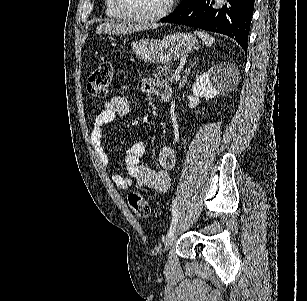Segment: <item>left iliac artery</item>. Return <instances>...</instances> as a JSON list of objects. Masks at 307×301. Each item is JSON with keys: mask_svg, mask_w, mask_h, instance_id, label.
Wrapping results in <instances>:
<instances>
[{"mask_svg": "<svg viewBox=\"0 0 307 301\" xmlns=\"http://www.w3.org/2000/svg\"><path fill=\"white\" fill-rule=\"evenodd\" d=\"M172 215H173V218H172V222H171L170 228L168 230L167 236L173 234L176 230V225H177V221H178V218H177V198L172 201Z\"/></svg>", "mask_w": 307, "mask_h": 301, "instance_id": "obj_1", "label": "left iliac artery"}]
</instances>
